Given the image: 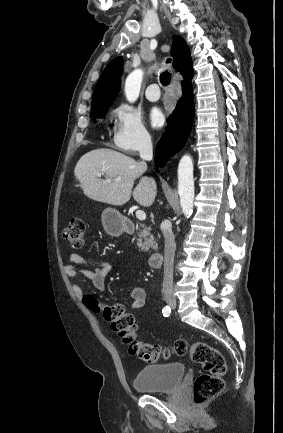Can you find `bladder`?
<instances>
[{
    "mask_svg": "<svg viewBox=\"0 0 283 433\" xmlns=\"http://www.w3.org/2000/svg\"><path fill=\"white\" fill-rule=\"evenodd\" d=\"M184 374L182 363L147 366L137 372L132 385L141 392H168L179 386Z\"/></svg>",
    "mask_w": 283,
    "mask_h": 433,
    "instance_id": "31cf9c89",
    "label": "bladder"
}]
</instances>
